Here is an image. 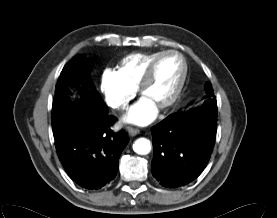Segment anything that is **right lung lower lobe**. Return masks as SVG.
I'll list each match as a JSON object with an SVG mask.
<instances>
[{
    "mask_svg": "<svg viewBox=\"0 0 277 218\" xmlns=\"http://www.w3.org/2000/svg\"><path fill=\"white\" fill-rule=\"evenodd\" d=\"M59 81L54 99L69 101L70 86ZM91 92L83 93L82 104H88ZM87 107V106H85ZM115 117L107 113L71 130L55 141L59 159L70 178L87 189H99L114 179L118 161L129 138L126 132L113 133L110 126Z\"/></svg>",
    "mask_w": 277,
    "mask_h": 218,
    "instance_id": "right-lung-lower-lobe-1",
    "label": "right lung lower lobe"
}]
</instances>
